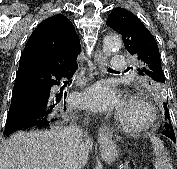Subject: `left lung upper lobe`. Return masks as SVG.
Instances as JSON below:
<instances>
[{
  "instance_id": "1",
  "label": "left lung upper lobe",
  "mask_w": 177,
  "mask_h": 169,
  "mask_svg": "<svg viewBox=\"0 0 177 169\" xmlns=\"http://www.w3.org/2000/svg\"><path fill=\"white\" fill-rule=\"evenodd\" d=\"M106 24L122 35L125 48L139 60L138 74L146 80L156 94L162 93L165 77L159 49L150 31L135 15L122 8L113 9ZM164 109L165 116L169 120L166 103ZM164 131L174 134L171 122L164 125Z\"/></svg>"
}]
</instances>
